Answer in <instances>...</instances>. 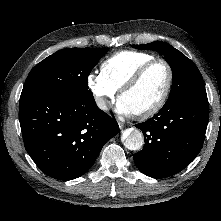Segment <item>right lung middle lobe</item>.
Here are the masks:
<instances>
[{
    "label": "right lung middle lobe",
    "instance_id": "right-lung-middle-lobe-1",
    "mask_svg": "<svg viewBox=\"0 0 221 221\" xmlns=\"http://www.w3.org/2000/svg\"><path fill=\"white\" fill-rule=\"evenodd\" d=\"M108 48H66L45 58L29 73L20 100L93 97L87 79Z\"/></svg>",
    "mask_w": 221,
    "mask_h": 221
}]
</instances>
